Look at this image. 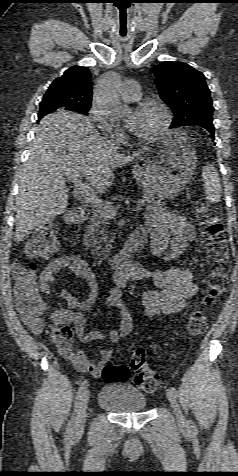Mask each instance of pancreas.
<instances>
[{"instance_id": "pancreas-1", "label": "pancreas", "mask_w": 238, "mask_h": 476, "mask_svg": "<svg viewBox=\"0 0 238 476\" xmlns=\"http://www.w3.org/2000/svg\"><path fill=\"white\" fill-rule=\"evenodd\" d=\"M142 202L146 204L147 211H164L165 203L161 200H155L147 196L143 198ZM108 225V219L96 211L90 218V223L84 232L83 244L97 257L107 256L111 252L113 239H107V231L105 230ZM102 242L106 243L105 247L102 246Z\"/></svg>"}]
</instances>
